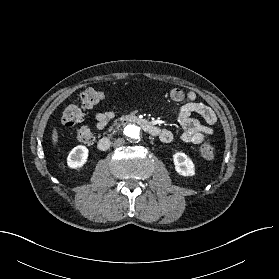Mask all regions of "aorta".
<instances>
[{"mask_svg": "<svg viewBox=\"0 0 279 279\" xmlns=\"http://www.w3.org/2000/svg\"><path fill=\"white\" fill-rule=\"evenodd\" d=\"M124 134L130 140H137L140 138V128L134 124H129L124 128Z\"/></svg>", "mask_w": 279, "mask_h": 279, "instance_id": "obj_1", "label": "aorta"}]
</instances>
